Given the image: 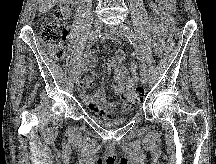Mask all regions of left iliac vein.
Returning <instances> with one entry per match:
<instances>
[{
    "label": "left iliac vein",
    "instance_id": "left-iliac-vein-1",
    "mask_svg": "<svg viewBox=\"0 0 216 164\" xmlns=\"http://www.w3.org/2000/svg\"><path fill=\"white\" fill-rule=\"evenodd\" d=\"M126 27H127L126 25L111 26L110 30H111V32L115 33L118 36L127 37L128 33L125 30ZM141 82L143 84H147V82H148V76H147V73L145 70H142V72H141Z\"/></svg>",
    "mask_w": 216,
    "mask_h": 164
}]
</instances>
